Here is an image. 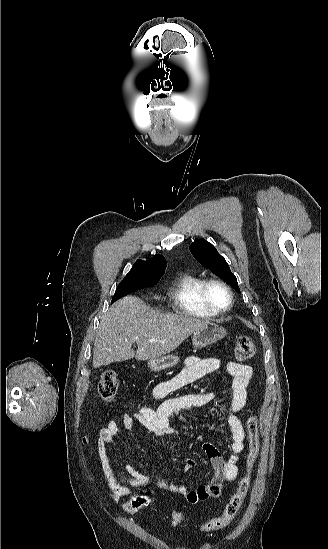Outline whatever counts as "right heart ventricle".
I'll return each instance as SVG.
<instances>
[{
  "mask_svg": "<svg viewBox=\"0 0 328 549\" xmlns=\"http://www.w3.org/2000/svg\"><path fill=\"white\" fill-rule=\"evenodd\" d=\"M205 277L186 274L178 279L170 293V303H175L176 310H180V319L213 318L201 309V289L206 283Z\"/></svg>",
  "mask_w": 328,
  "mask_h": 549,
  "instance_id": "1",
  "label": "right heart ventricle"
}]
</instances>
